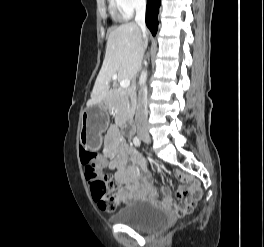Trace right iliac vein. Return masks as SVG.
I'll list each match as a JSON object with an SVG mask.
<instances>
[{"label":"right iliac vein","mask_w":264,"mask_h":247,"mask_svg":"<svg viewBox=\"0 0 264 247\" xmlns=\"http://www.w3.org/2000/svg\"><path fill=\"white\" fill-rule=\"evenodd\" d=\"M138 135L144 142H146V143L150 142V136H149L147 130H145V129L139 130Z\"/></svg>","instance_id":"obj_1"}]
</instances>
